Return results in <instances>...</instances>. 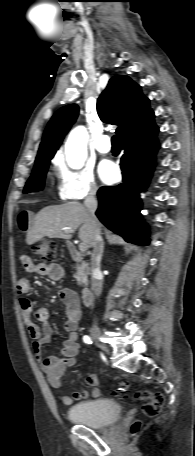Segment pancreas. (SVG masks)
Wrapping results in <instances>:
<instances>
[{"label":"pancreas","mask_w":195,"mask_h":456,"mask_svg":"<svg viewBox=\"0 0 195 456\" xmlns=\"http://www.w3.org/2000/svg\"><path fill=\"white\" fill-rule=\"evenodd\" d=\"M75 258H76V256H75ZM80 259H82V258H80ZM88 274H89V271H88L86 262L80 261V263L77 265V272L75 274V278L77 280L78 285L81 286V285L87 283Z\"/></svg>","instance_id":"obj_1"}]
</instances>
